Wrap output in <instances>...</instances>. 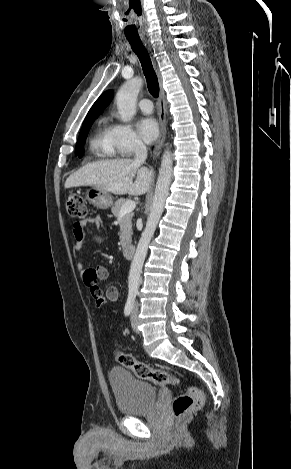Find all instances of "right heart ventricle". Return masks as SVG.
<instances>
[{"label":"right heart ventricle","mask_w":291,"mask_h":469,"mask_svg":"<svg viewBox=\"0 0 291 469\" xmlns=\"http://www.w3.org/2000/svg\"><path fill=\"white\" fill-rule=\"evenodd\" d=\"M90 151L96 157L109 158L114 156L115 152L109 139V126L105 119L98 120L94 133L90 139Z\"/></svg>","instance_id":"1"}]
</instances>
